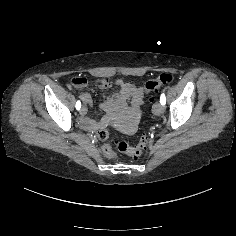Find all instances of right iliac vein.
Wrapping results in <instances>:
<instances>
[{
	"label": "right iliac vein",
	"instance_id": "1",
	"mask_svg": "<svg viewBox=\"0 0 236 236\" xmlns=\"http://www.w3.org/2000/svg\"><path fill=\"white\" fill-rule=\"evenodd\" d=\"M86 111H87V110H86V107L83 106V107L80 109L79 112H80L81 115H85V114H86Z\"/></svg>",
	"mask_w": 236,
	"mask_h": 236
}]
</instances>
